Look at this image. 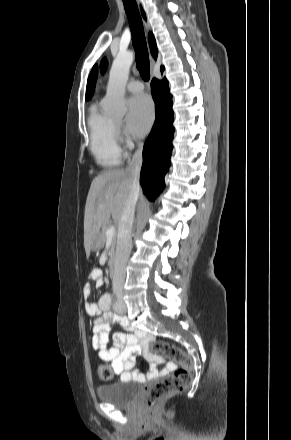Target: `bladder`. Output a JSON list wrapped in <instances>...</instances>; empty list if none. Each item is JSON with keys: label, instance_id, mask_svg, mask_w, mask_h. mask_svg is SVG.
I'll use <instances>...</instances> for the list:
<instances>
[{"label": "bladder", "instance_id": "bladder-1", "mask_svg": "<svg viewBox=\"0 0 291 440\" xmlns=\"http://www.w3.org/2000/svg\"><path fill=\"white\" fill-rule=\"evenodd\" d=\"M135 384L134 381L122 379L113 384L98 387L96 396L99 400L116 407L130 406L140 394V389Z\"/></svg>", "mask_w": 291, "mask_h": 440}]
</instances>
